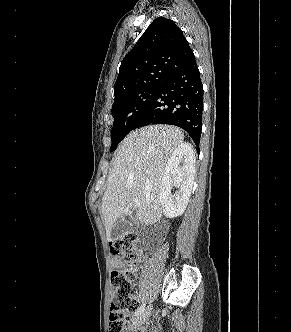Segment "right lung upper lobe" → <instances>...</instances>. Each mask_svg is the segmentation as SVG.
I'll list each match as a JSON object with an SVG mask.
<instances>
[{"mask_svg": "<svg viewBox=\"0 0 291 332\" xmlns=\"http://www.w3.org/2000/svg\"><path fill=\"white\" fill-rule=\"evenodd\" d=\"M194 59L188 41L176 24L164 17L156 18L123 59L114 85L115 100L162 82Z\"/></svg>", "mask_w": 291, "mask_h": 332, "instance_id": "cb5924a9", "label": "right lung upper lobe"}]
</instances>
